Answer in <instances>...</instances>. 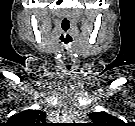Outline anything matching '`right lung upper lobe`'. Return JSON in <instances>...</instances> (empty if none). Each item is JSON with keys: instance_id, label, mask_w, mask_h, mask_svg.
I'll use <instances>...</instances> for the list:
<instances>
[{"instance_id": "1", "label": "right lung upper lobe", "mask_w": 135, "mask_h": 126, "mask_svg": "<svg viewBox=\"0 0 135 126\" xmlns=\"http://www.w3.org/2000/svg\"><path fill=\"white\" fill-rule=\"evenodd\" d=\"M45 113L41 110H26L9 118L13 126L39 125L44 122Z\"/></svg>"}]
</instances>
